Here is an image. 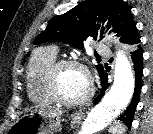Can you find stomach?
<instances>
[{
    "mask_svg": "<svg viewBox=\"0 0 153 134\" xmlns=\"http://www.w3.org/2000/svg\"><path fill=\"white\" fill-rule=\"evenodd\" d=\"M81 113L72 115V124L77 125ZM61 116H51L41 110H32L20 117L10 128V134H54L61 126Z\"/></svg>",
    "mask_w": 153,
    "mask_h": 134,
    "instance_id": "0dacf381",
    "label": "stomach"
}]
</instances>
